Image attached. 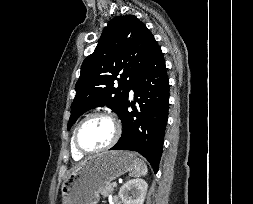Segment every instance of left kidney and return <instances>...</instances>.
<instances>
[{
  "label": "left kidney",
  "instance_id": "5707ae66",
  "mask_svg": "<svg viewBox=\"0 0 253 204\" xmlns=\"http://www.w3.org/2000/svg\"><path fill=\"white\" fill-rule=\"evenodd\" d=\"M148 185L143 179L127 181L119 190V197L124 204H143Z\"/></svg>",
  "mask_w": 253,
  "mask_h": 204
}]
</instances>
